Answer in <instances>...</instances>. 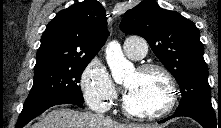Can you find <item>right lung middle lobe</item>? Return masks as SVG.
Instances as JSON below:
<instances>
[{"label":"right lung middle lobe","mask_w":221,"mask_h":128,"mask_svg":"<svg viewBox=\"0 0 221 128\" xmlns=\"http://www.w3.org/2000/svg\"><path fill=\"white\" fill-rule=\"evenodd\" d=\"M90 61L83 59L66 65L34 70L33 86L23 107L59 97L83 103L84 99L78 83Z\"/></svg>","instance_id":"right-lung-middle-lobe-1"}]
</instances>
